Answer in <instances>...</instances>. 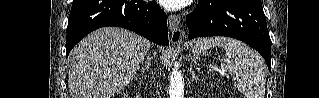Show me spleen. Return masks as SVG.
I'll use <instances>...</instances> for the list:
<instances>
[{
	"label": "spleen",
	"mask_w": 319,
	"mask_h": 98,
	"mask_svg": "<svg viewBox=\"0 0 319 98\" xmlns=\"http://www.w3.org/2000/svg\"><path fill=\"white\" fill-rule=\"evenodd\" d=\"M225 50V62L237 89L246 98H264L266 74L260 56L246 44L226 37L203 38L193 48L195 58L212 47Z\"/></svg>",
	"instance_id": "spleen-1"
}]
</instances>
